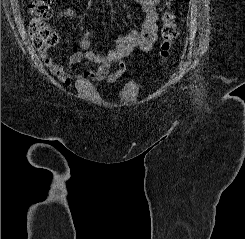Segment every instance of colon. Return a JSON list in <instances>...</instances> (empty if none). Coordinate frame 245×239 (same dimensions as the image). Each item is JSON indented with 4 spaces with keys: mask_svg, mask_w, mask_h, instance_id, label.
<instances>
[{
    "mask_svg": "<svg viewBox=\"0 0 245 239\" xmlns=\"http://www.w3.org/2000/svg\"><path fill=\"white\" fill-rule=\"evenodd\" d=\"M173 0L166 1V10L162 15L161 46L160 58L167 61L171 55L179 31L175 22V15L170 10ZM54 0H33L29 5V11L32 19L29 24V35L36 50L41 56L46 55L58 40L57 34L48 24L52 16L51 4Z\"/></svg>",
    "mask_w": 245,
    "mask_h": 239,
    "instance_id": "1",
    "label": "colon"
}]
</instances>
